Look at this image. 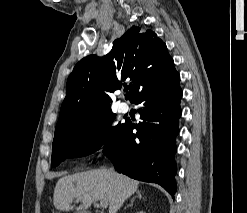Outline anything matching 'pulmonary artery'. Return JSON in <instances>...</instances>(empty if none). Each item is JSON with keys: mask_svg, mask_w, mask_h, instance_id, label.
I'll use <instances>...</instances> for the list:
<instances>
[{"mask_svg": "<svg viewBox=\"0 0 247 213\" xmlns=\"http://www.w3.org/2000/svg\"><path fill=\"white\" fill-rule=\"evenodd\" d=\"M118 109L122 113H126L129 111V105L126 102H120L118 105Z\"/></svg>", "mask_w": 247, "mask_h": 213, "instance_id": "pulmonary-artery-1", "label": "pulmonary artery"}]
</instances>
